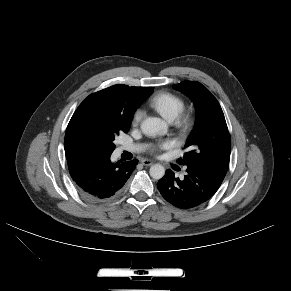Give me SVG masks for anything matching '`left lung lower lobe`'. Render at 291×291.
<instances>
[{
  "mask_svg": "<svg viewBox=\"0 0 291 291\" xmlns=\"http://www.w3.org/2000/svg\"><path fill=\"white\" fill-rule=\"evenodd\" d=\"M183 180L175 178L171 170L159 180L157 187L170 204L188 209L208 201L220 187L226 173L197 164L187 165Z\"/></svg>",
  "mask_w": 291,
  "mask_h": 291,
  "instance_id": "0a47b994",
  "label": "left lung lower lobe"
}]
</instances>
